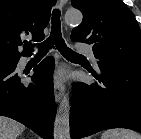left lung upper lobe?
Masks as SVG:
<instances>
[{
    "instance_id": "1",
    "label": "left lung upper lobe",
    "mask_w": 141,
    "mask_h": 139,
    "mask_svg": "<svg viewBox=\"0 0 141 139\" xmlns=\"http://www.w3.org/2000/svg\"><path fill=\"white\" fill-rule=\"evenodd\" d=\"M83 13L71 39L93 45L98 64L141 67V34L133 12L122 0H72Z\"/></svg>"
}]
</instances>
